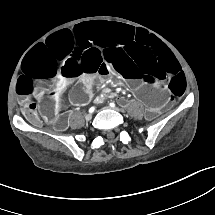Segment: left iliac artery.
Wrapping results in <instances>:
<instances>
[{"instance_id":"44dca946","label":"left iliac artery","mask_w":215,"mask_h":215,"mask_svg":"<svg viewBox=\"0 0 215 215\" xmlns=\"http://www.w3.org/2000/svg\"><path fill=\"white\" fill-rule=\"evenodd\" d=\"M110 106H111V107H115V103H113V102L110 103Z\"/></svg>"}]
</instances>
